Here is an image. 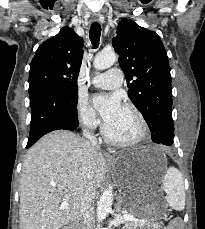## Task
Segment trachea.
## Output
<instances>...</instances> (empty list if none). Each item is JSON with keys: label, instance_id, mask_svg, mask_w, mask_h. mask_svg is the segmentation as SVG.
Here are the masks:
<instances>
[{"label": "trachea", "instance_id": "1", "mask_svg": "<svg viewBox=\"0 0 205 229\" xmlns=\"http://www.w3.org/2000/svg\"><path fill=\"white\" fill-rule=\"evenodd\" d=\"M101 26L99 23L94 22L90 26L89 37L94 48H97L100 41Z\"/></svg>", "mask_w": 205, "mask_h": 229}]
</instances>
